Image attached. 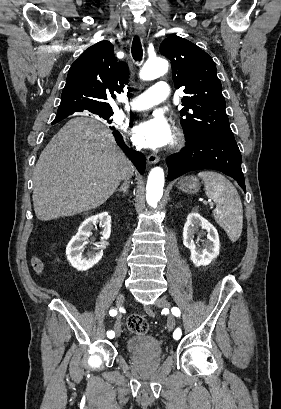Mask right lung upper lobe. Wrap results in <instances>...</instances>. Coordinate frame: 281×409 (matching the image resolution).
<instances>
[{
    "label": "right lung upper lobe",
    "instance_id": "cb5924a9",
    "mask_svg": "<svg viewBox=\"0 0 281 409\" xmlns=\"http://www.w3.org/2000/svg\"><path fill=\"white\" fill-rule=\"evenodd\" d=\"M128 65L118 61L109 41L86 49L71 65L57 113L112 111L110 94L123 90Z\"/></svg>",
    "mask_w": 281,
    "mask_h": 409
}]
</instances>
